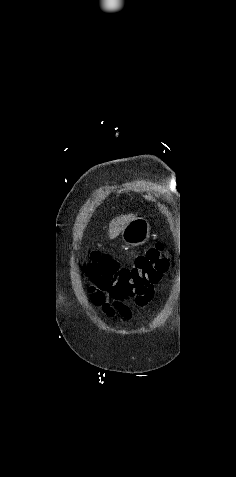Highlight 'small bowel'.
Here are the masks:
<instances>
[{
	"mask_svg": "<svg viewBox=\"0 0 236 477\" xmlns=\"http://www.w3.org/2000/svg\"><path fill=\"white\" fill-rule=\"evenodd\" d=\"M151 297H152V293L149 294V295H147L145 301L141 304V306L146 305L147 302L151 299ZM103 309H104V311H105L108 315H110V316L114 315V314H115V311H116L113 307H111V306H109V305H103ZM121 314L124 315L125 317H129V316H130L129 310L126 311V312H123V313L121 312Z\"/></svg>",
	"mask_w": 236,
	"mask_h": 477,
	"instance_id": "1",
	"label": "small bowel"
}]
</instances>
